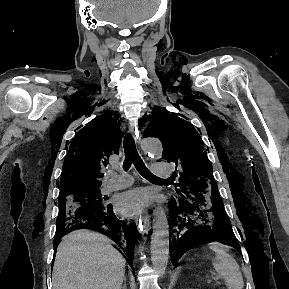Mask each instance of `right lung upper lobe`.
<instances>
[{"mask_svg": "<svg viewBox=\"0 0 289 289\" xmlns=\"http://www.w3.org/2000/svg\"><path fill=\"white\" fill-rule=\"evenodd\" d=\"M122 136L117 114L108 110L82 128L72 141L63 164L60 196L99 189L103 176L101 167L107 165L112 152H118Z\"/></svg>", "mask_w": 289, "mask_h": 289, "instance_id": "cb5924a9", "label": "right lung upper lobe"}]
</instances>
